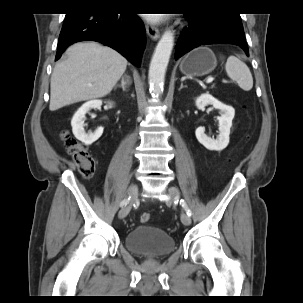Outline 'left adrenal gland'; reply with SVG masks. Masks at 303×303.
<instances>
[{
    "label": "left adrenal gland",
    "instance_id": "1",
    "mask_svg": "<svg viewBox=\"0 0 303 303\" xmlns=\"http://www.w3.org/2000/svg\"><path fill=\"white\" fill-rule=\"evenodd\" d=\"M183 87L185 86L183 85V83H181L179 90H181Z\"/></svg>",
    "mask_w": 303,
    "mask_h": 303
}]
</instances>
